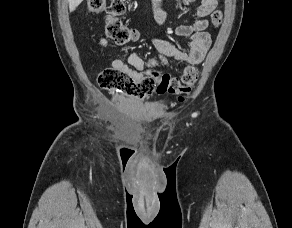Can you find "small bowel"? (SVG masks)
I'll return each mask as SVG.
<instances>
[{
  "label": "small bowel",
  "mask_w": 292,
  "mask_h": 228,
  "mask_svg": "<svg viewBox=\"0 0 292 228\" xmlns=\"http://www.w3.org/2000/svg\"><path fill=\"white\" fill-rule=\"evenodd\" d=\"M217 1L201 0L195 10L193 22L190 24H181L175 28V34L177 36L190 40L186 51L181 50L165 39L155 37L152 41L153 46L160 55L164 58H171L178 61L183 65V69L187 67L195 68L204 59L211 45L210 34L206 31L208 27L207 17L217 6ZM162 3L163 0H153V12L160 24H163L166 19V13L162 9ZM100 44L106 47L108 43L106 39L102 38ZM128 64L121 59H115L112 62V68L127 73L135 80H140L144 76V59L138 53L132 52L128 56Z\"/></svg>",
  "instance_id": "obj_1"
}]
</instances>
